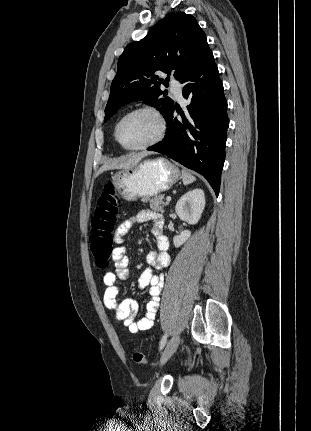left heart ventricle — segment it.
I'll return each instance as SVG.
<instances>
[{
	"instance_id": "1",
	"label": "left heart ventricle",
	"mask_w": 311,
	"mask_h": 431,
	"mask_svg": "<svg viewBox=\"0 0 311 431\" xmlns=\"http://www.w3.org/2000/svg\"><path fill=\"white\" fill-rule=\"evenodd\" d=\"M160 123L149 112H137L124 118L118 127L121 141L126 146H139L150 142L159 133Z\"/></svg>"
}]
</instances>
